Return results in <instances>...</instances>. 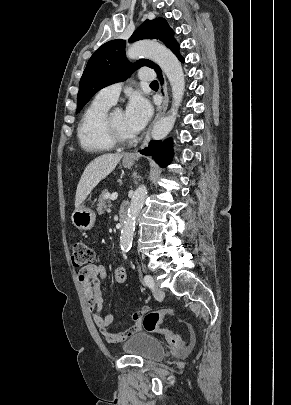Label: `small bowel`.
Listing matches in <instances>:
<instances>
[{"label": "small bowel", "instance_id": "c3829d8e", "mask_svg": "<svg viewBox=\"0 0 291 405\" xmlns=\"http://www.w3.org/2000/svg\"><path fill=\"white\" fill-rule=\"evenodd\" d=\"M106 277V270L102 265H89L80 269L78 280L82 286L88 308L92 314L93 320L101 334L107 342L111 344L120 343L129 339L131 336L141 330L143 316L149 312V307L144 306L133 313V325L122 332L110 331V325L113 322V315H101L104 296L102 292V282Z\"/></svg>", "mask_w": 291, "mask_h": 405}]
</instances>
